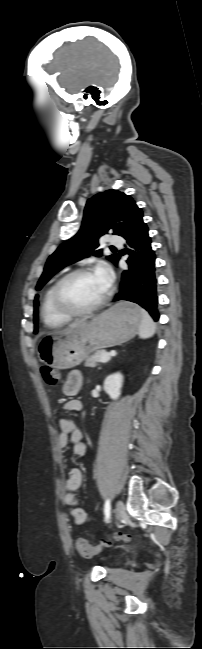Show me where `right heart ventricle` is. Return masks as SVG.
Segmentation results:
<instances>
[{
  "label": "right heart ventricle",
  "instance_id": "right-heart-ventricle-1",
  "mask_svg": "<svg viewBox=\"0 0 202 649\" xmlns=\"http://www.w3.org/2000/svg\"><path fill=\"white\" fill-rule=\"evenodd\" d=\"M56 281L51 283L45 290L41 302V317L43 322L52 328L60 327L71 320V316L63 314L56 307L53 300V290Z\"/></svg>",
  "mask_w": 202,
  "mask_h": 649
}]
</instances>
